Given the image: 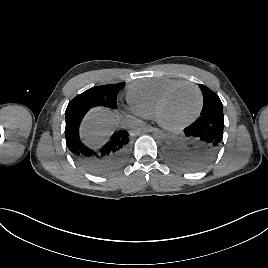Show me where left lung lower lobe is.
<instances>
[{
    "label": "left lung lower lobe",
    "instance_id": "0a47b994",
    "mask_svg": "<svg viewBox=\"0 0 268 268\" xmlns=\"http://www.w3.org/2000/svg\"><path fill=\"white\" fill-rule=\"evenodd\" d=\"M223 114L198 118L166 147L167 162L177 169H199L209 164L222 145Z\"/></svg>",
    "mask_w": 268,
    "mask_h": 268
}]
</instances>
